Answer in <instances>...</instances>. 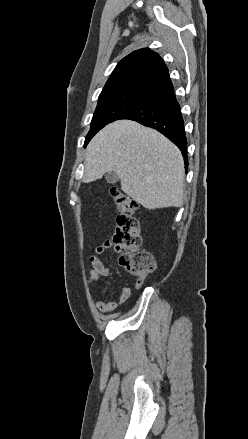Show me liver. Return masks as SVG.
<instances>
[{
    "mask_svg": "<svg viewBox=\"0 0 248 439\" xmlns=\"http://www.w3.org/2000/svg\"><path fill=\"white\" fill-rule=\"evenodd\" d=\"M83 182L115 172L122 191L143 207H180L184 201V161L180 150L158 131L118 120L99 131L85 155Z\"/></svg>",
    "mask_w": 248,
    "mask_h": 439,
    "instance_id": "1",
    "label": "liver"
}]
</instances>
